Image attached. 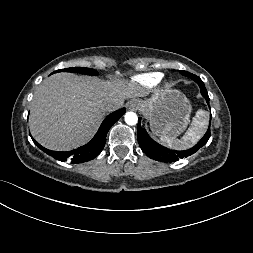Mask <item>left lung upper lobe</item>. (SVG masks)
Masks as SVG:
<instances>
[{
  "label": "left lung upper lobe",
  "mask_w": 253,
  "mask_h": 253,
  "mask_svg": "<svg viewBox=\"0 0 253 253\" xmlns=\"http://www.w3.org/2000/svg\"><path fill=\"white\" fill-rule=\"evenodd\" d=\"M180 73H181L182 75H184V76H187V77H188V74H189V72L183 71V70H181Z\"/></svg>",
  "instance_id": "5c2ea615"
}]
</instances>
